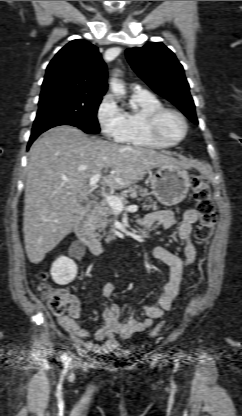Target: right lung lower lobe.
I'll list each match as a JSON object with an SVG mask.
<instances>
[{
	"mask_svg": "<svg viewBox=\"0 0 242 416\" xmlns=\"http://www.w3.org/2000/svg\"><path fill=\"white\" fill-rule=\"evenodd\" d=\"M63 125H71V124H63ZM72 126H74V125H72ZM49 129V128H48ZM48 129H45V130H42V131H36V132H32V134H31V136H30V140H29V142H28V146H27V149H29V147H30V145L32 144V142L42 133V132H44V131H46V130H48Z\"/></svg>",
	"mask_w": 242,
	"mask_h": 416,
	"instance_id": "98d812e1",
	"label": "right lung lower lobe"
}]
</instances>
